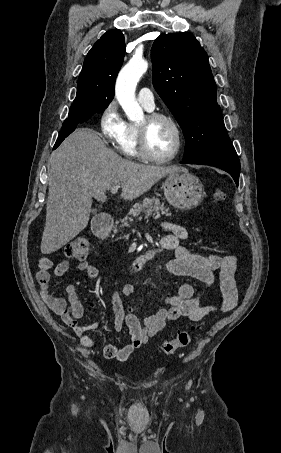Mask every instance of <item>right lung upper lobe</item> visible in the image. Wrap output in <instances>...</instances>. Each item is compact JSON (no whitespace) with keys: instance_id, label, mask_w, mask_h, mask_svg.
Segmentation results:
<instances>
[{"instance_id":"cb5924a9","label":"right lung upper lobe","mask_w":281,"mask_h":453,"mask_svg":"<svg viewBox=\"0 0 281 453\" xmlns=\"http://www.w3.org/2000/svg\"><path fill=\"white\" fill-rule=\"evenodd\" d=\"M124 56L122 32L117 29L107 31L88 52L71 107L91 106L95 111L107 108L114 97V83Z\"/></svg>"}]
</instances>
